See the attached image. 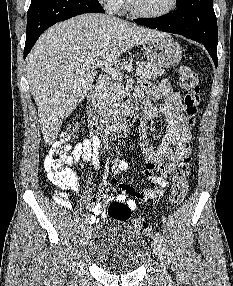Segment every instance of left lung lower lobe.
<instances>
[{
  "instance_id": "left-lung-lower-lobe-1",
  "label": "left lung lower lobe",
  "mask_w": 233,
  "mask_h": 286,
  "mask_svg": "<svg viewBox=\"0 0 233 286\" xmlns=\"http://www.w3.org/2000/svg\"><path fill=\"white\" fill-rule=\"evenodd\" d=\"M176 4L177 9L172 14L134 19V22L202 43L217 67L218 28L213 0H182Z\"/></svg>"
}]
</instances>
